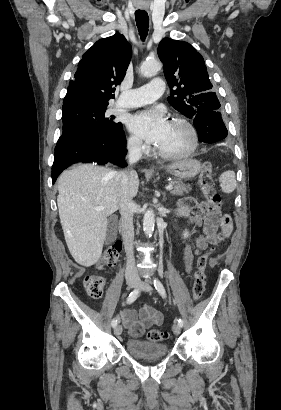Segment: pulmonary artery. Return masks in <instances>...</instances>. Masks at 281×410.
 Segmentation results:
<instances>
[{"label": "pulmonary artery", "mask_w": 281, "mask_h": 410, "mask_svg": "<svg viewBox=\"0 0 281 410\" xmlns=\"http://www.w3.org/2000/svg\"><path fill=\"white\" fill-rule=\"evenodd\" d=\"M164 89L163 80L155 78L139 88L121 92L116 104L121 108H132L152 103L163 94Z\"/></svg>", "instance_id": "e3ab8cb5"}]
</instances>
